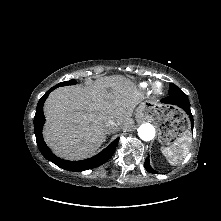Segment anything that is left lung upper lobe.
<instances>
[{
  "label": "left lung upper lobe",
  "mask_w": 221,
  "mask_h": 221,
  "mask_svg": "<svg viewBox=\"0 0 221 221\" xmlns=\"http://www.w3.org/2000/svg\"><path fill=\"white\" fill-rule=\"evenodd\" d=\"M179 92H182V90H180V88L177 87L175 84L171 83L169 86V94L179 93Z\"/></svg>",
  "instance_id": "5c2ea615"
}]
</instances>
